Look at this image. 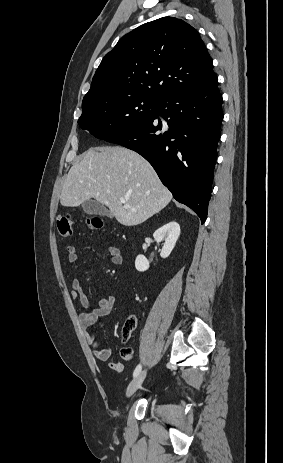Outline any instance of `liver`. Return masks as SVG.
Masks as SVG:
<instances>
[{"label": "liver", "instance_id": "liver-1", "mask_svg": "<svg viewBox=\"0 0 283 463\" xmlns=\"http://www.w3.org/2000/svg\"><path fill=\"white\" fill-rule=\"evenodd\" d=\"M92 198L105 204L120 224L135 226L165 208L172 194L138 153L124 147H94L69 170L60 202L77 207Z\"/></svg>", "mask_w": 283, "mask_h": 463}]
</instances>
